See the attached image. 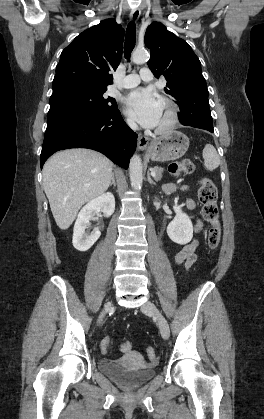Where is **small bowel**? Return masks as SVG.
Listing matches in <instances>:
<instances>
[{"instance_id":"obj_1","label":"small bowel","mask_w":264,"mask_h":419,"mask_svg":"<svg viewBox=\"0 0 264 419\" xmlns=\"http://www.w3.org/2000/svg\"><path fill=\"white\" fill-rule=\"evenodd\" d=\"M167 193H173L177 190L186 191L187 186H177L175 184H168L164 187ZM186 206L189 209H193L195 207V203L192 199L186 200ZM202 229V222L197 220L195 224V232H199ZM198 247V241L196 239L192 240L190 243L183 246V248L174 256V262L176 265H184L186 270H189L193 264L196 263L198 256L196 254V249ZM126 343V342H124ZM123 343V344H124ZM130 349H124L123 346L121 347V351L125 354L130 352ZM105 352V351H103ZM107 353V352H105Z\"/></svg>"}]
</instances>
